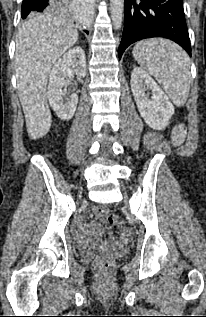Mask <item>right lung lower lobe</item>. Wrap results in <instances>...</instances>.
Wrapping results in <instances>:
<instances>
[{
  "label": "right lung lower lobe",
  "instance_id": "98d812e1",
  "mask_svg": "<svg viewBox=\"0 0 206 317\" xmlns=\"http://www.w3.org/2000/svg\"><path fill=\"white\" fill-rule=\"evenodd\" d=\"M55 1L56 0H23V3L30 6L32 12H47L54 8Z\"/></svg>",
  "mask_w": 206,
  "mask_h": 317
}]
</instances>
